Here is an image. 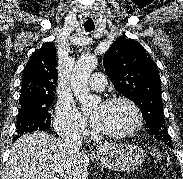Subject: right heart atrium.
Returning a JSON list of instances; mask_svg holds the SVG:
<instances>
[{"instance_id":"obj_1","label":"right heart atrium","mask_w":183,"mask_h":179,"mask_svg":"<svg viewBox=\"0 0 183 179\" xmlns=\"http://www.w3.org/2000/svg\"><path fill=\"white\" fill-rule=\"evenodd\" d=\"M56 131L62 135H82L87 131V122L73 102L60 100L54 120Z\"/></svg>"}]
</instances>
